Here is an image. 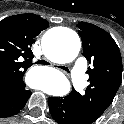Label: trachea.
<instances>
[{
  "label": "trachea",
  "mask_w": 124,
  "mask_h": 124,
  "mask_svg": "<svg viewBox=\"0 0 124 124\" xmlns=\"http://www.w3.org/2000/svg\"><path fill=\"white\" fill-rule=\"evenodd\" d=\"M63 69L66 70L67 72H69V70L67 68L63 67Z\"/></svg>",
  "instance_id": "1"
}]
</instances>
